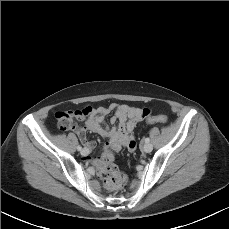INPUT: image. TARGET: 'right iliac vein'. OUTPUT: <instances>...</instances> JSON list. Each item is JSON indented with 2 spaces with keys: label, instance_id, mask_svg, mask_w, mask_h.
<instances>
[{
  "label": "right iliac vein",
  "instance_id": "63e3f726",
  "mask_svg": "<svg viewBox=\"0 0 229 229\" xmlns=\"http://www.w3.org/2000/svg\"><path fill=\"white\" fill-rule=\"evenodd\" d=\"M81 154H82L83 156H86V155L89 154V151L86 150V149H83V150H81Z\"/></svg>",
  "mask_w": 229,
  "mask_h": 229
}]
</instances>
